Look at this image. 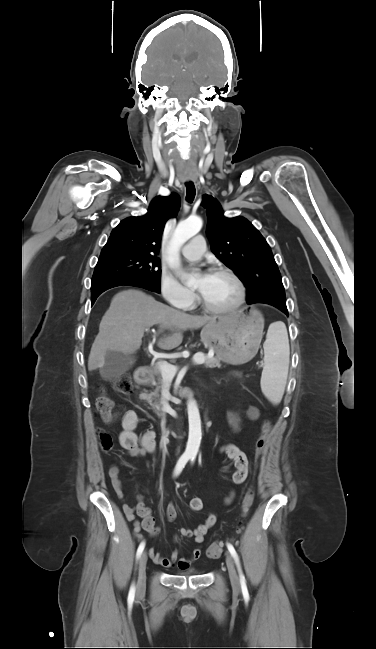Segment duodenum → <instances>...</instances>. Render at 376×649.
Listing matches in <instances>:
<instances>
[{
    "label": "duodenum",
    "mask_w": 376,
    "mask_h": 649,
    "mask_svg": "<svg viewBox=\"0 0 376 649\" xmlns=\"http://www.w3.org/2000/svg\"><path fill=\"white\" fill-rule=\"evenodd\" d=\"M149 375V369L147 366H142L139 367L134 374V380L137 384L142 385L147 382ZM179 396L185 397L189 395V391L187 389H181L178 392Z\"/></svg>",
    "instance_id": "duodenum-1"
}]
</instances>
